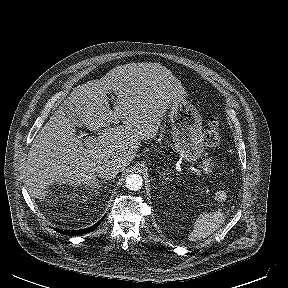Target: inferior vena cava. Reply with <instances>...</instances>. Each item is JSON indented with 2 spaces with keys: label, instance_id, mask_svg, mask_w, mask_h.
<instances>
[{
  "label": "inferior vena cava",
  "instance_id": "inferior-vena-cava-1",
  "mask_svg": "<svg viewBox=\"0 0 288 288\" xmlns=\"http://www.w3.org/2000/svg\"><path fill=\"white\" fill-rule=\"evenodd\" d=\"M122 166L120 163L113 162H105L96 167V173L98 177L106 180H111L116 177V175L121 170Z\"/></svg>",
  "mask_w": 288,
  "mask_h": 288
}]
</instances>
